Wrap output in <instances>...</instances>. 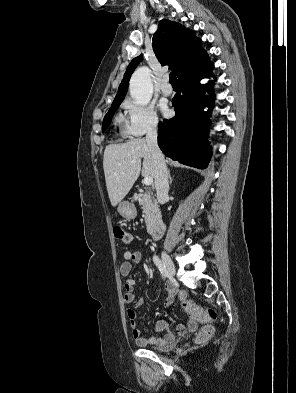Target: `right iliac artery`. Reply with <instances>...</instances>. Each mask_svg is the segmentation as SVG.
I'll use <instances>...</instances> for the list:
<instances>
[{
	"label": "right iliac artery",
	"mask_w": 296,
	"mask_h": 393,
	"mask_svg": "<svg viewBox=\"0 0 296 393\" xmlns=\"http://www.w3.org/2000/svg\"><path fill=\"white\" fill-rule=\"evenodd\" d=\"M153 261H154L155 265L157 266V268L160 270L162 276H163L164 278H166L168 272H167V270H166L165 265H164L163 262L161 261V259H160L158 256L154 255V256H153Z\"/></svg>",
	"instance_id": "obj_1"
}]
</instances>
